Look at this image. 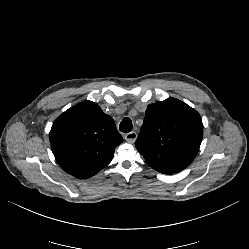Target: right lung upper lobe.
Segmentation results:
<instances>
[{"instance_id": "obj_1", "label": "right lung upper lobe", "mask_w": 249, "mask_h": 249, "mask_svg": "<svg viewBox=\"0 0 249 249\" xmlns=\"http://www.w3.org/2000/svg\"><path fill=\"white\" fill-rule=\"evenodd\" d=\"M49 139L62 169L80 179L89 178L107 166L123 141L114 120L87 100L55 120Z\"/></svg>"}]
</instances>
